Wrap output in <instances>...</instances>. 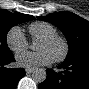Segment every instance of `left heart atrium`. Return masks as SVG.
I'll return each mask as SVG.
<instances>
[{
  "label": "left heart atrium",
  "mask_w": 89,
  "mask_h": 89,
  "mask_svg": "<svg viewBox=\"0 0 89 89\" xmlns=\"http://www.w3.org/2000/svg\"><path fill=\"white\" fill-rule=\"evenodd\" d=\"M53 59L52 55L46 50L25 52L16 56L17 64L26 68L48 65L53 61Z\"/></svg>",
  "instance_id": "obj_1"
}]
</instances>
